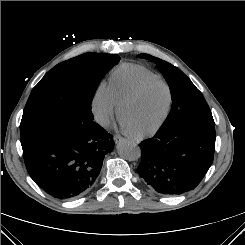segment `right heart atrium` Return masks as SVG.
Wrapping results in <instances>:
<instances>
[{"label":"right heart atrium","instance_id":"obj_1","mask_svg":"<svg viewBox=\"0 0 245 245\" xmlns=\"http://www.w3.org/2000/svg\"><path fill=\"white\" fill-rule=\"evenodd\" d=\"M92 111L97 122L104 127L109 126L117 116L118 103L105 82H101L94 93Z\"/></svg>","mask_w":245,"mask_h":245}]
</instances>
